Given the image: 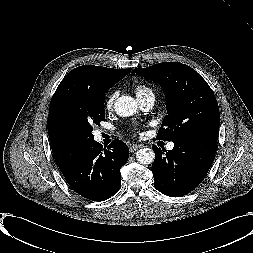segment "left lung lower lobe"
<instances>
[{
  "label": "left lung lower lobe",
  "instance_id": "0a47b994",
  "mask_svg": "<svg viewBox=\"0 0 253 253\" xmlns=\"http://www.w3.org/2000/svg\"><path fill=\"white\" fill-rule=\"evenodd\" d=\"M152 164L154 186L170 197H179L193 191L206 176L214 159L217 140L196 138L174 142L172 150L153 146Z\"/></svg>",
  "mask_w": 253,
  "mask_h": 253
}]
</instances>
